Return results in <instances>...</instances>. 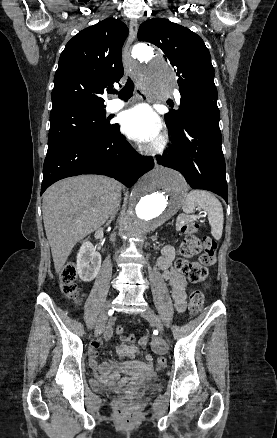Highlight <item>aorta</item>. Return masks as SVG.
<instances>
[{"mask_svg": "<svg viewBox=\"0 0 277 438\" xmlns=\"http://www.w3.org/2000/svg\"><path fill=\"white\" fill-rule=\"evenodd\" d=\"M132 53L141 63L136 70L139 85L150 96L168 95L175 86L174 69L145 44L135 45ZM186 191L184 178L172 169L157 167L147 173L131 192L128 209L120 220V236L130 239L156 229L177 213Z\"/></svg>", "mask_w": 277, "mask_h": 438, "instance_id": "aorta-1", "label": "aorta"}]
</instances>
